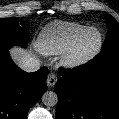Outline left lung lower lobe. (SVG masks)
<instances>
[{"instance_id":"1","label":"left lung lower lobe","mask_w":119,"mask_h":119,"mask_svg":"<svg viewBox=\"0 0 119 119\" xmlns=\"http://www.w3.org/2000/svg\"><path fill=\"white\" fill-rule=\"evenodd\" d=\"M59 72L56 119H119V57Z\"/></svg>"}]
</instances>
